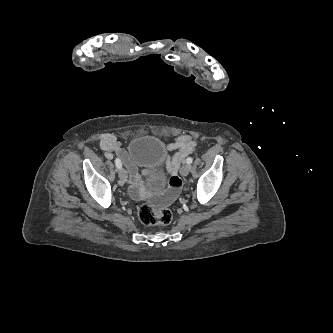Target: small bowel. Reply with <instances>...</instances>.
Returning <instances> with one entry per match:
<instances>
[{
    "instance_id": "1",
    "label": "small bowel",
    "mask_w": 333,
    "mask_h": 333,
    "mask_svg": "<svg viewBox=\"0 0 333 333\" xmlns=\"http://www.w3.org/2000/svg\"><path fill=\"white\" fill-rule=\"evenodd\" d=\"M100 146L105 151L106 156L111 158L114 153L120 157L127 168L130 180V194L134 198H139L143 195L140 174L136 165L126 155L124 149L121 147L115 135L111 133H105L100 138ZM167 149L170 151H176L175 154L170 157L167 156L164 160V166L166 171L174 175L177 173L180 165L184 162L185 158L193 153L196 149V142L190 135H180L174 139V141L167 144ZM171 185L174 188H178L181 182L177 176L171 178ZM172 195V192L167 194L168 197Z\"/></svg>"
}]
</instances>
